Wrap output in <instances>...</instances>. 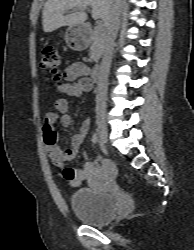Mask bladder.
Returning a JSON list of instances; mask_svg holds the SVG:
<instances>
[{"label": "bladder", "mask_w": 194, "mask_h": 250, "mask_svg": "<svg viewBox=\"0 0 194 250\" xmlns=\"http://www.w3.org/2000/svg\"><path fill=\"white\" fill-rule=\"evenodd\" d=\"M70 205L76 217L92 226L104 225L116 214V203L112 195L93 188L73 192Z\"/></svg>", "instance_id": "31cf9c89"}]
</instances>
